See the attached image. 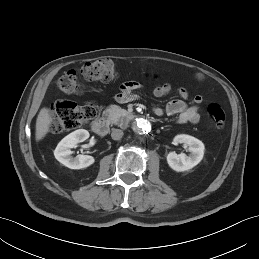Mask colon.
Masks as SVG:
<instances>
[{
    "instance_id": "1",
    "label": "colon",
    "mask_w": 259,
    "mask_h": 259,
    "mask_svg": "<svg viewBox=\"0 0 259 259\" xmlns=\"http://www.w3.org/2000/svg\"><path fill=\"white\" fill-rule=\"evenodd\" d=\"M117 72L114 62L108 58L98 59L84 64L78 69L65 72L58 79V88L65 94H76L80 90V81L110 82L116 78ZM51 130L60 133L78 128L94 119L97 115V105L89 102L78 105L69 101H58L52 104ZM209 118L217 129L226 124L224 109L217 103H211L207 109Z\"/></svg>"
}]
</instances>
